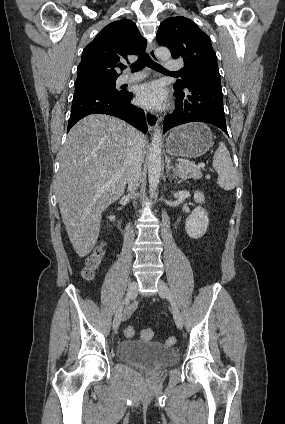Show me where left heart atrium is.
Instances as JSON below:
<instances>
[{
	"label": "left heart atrium",
	"instance_id": "39dd6f15",
	"mask_svg": "<svg viewBox=\"0 0 285 424\" xmlns=\"http://www.w3.org/2000/svg\"><path fill=\"white\" fill-rule=\"evenodd\" d=\"M136 98L143 107L160 109L166 103V92L160 83L148 82L137 89Z\"/></svg>",
	"mask_w": 285,
	"mask_h": 424
}]
</instances>
